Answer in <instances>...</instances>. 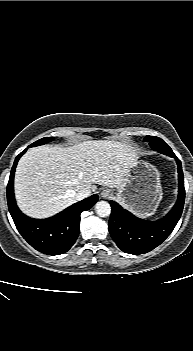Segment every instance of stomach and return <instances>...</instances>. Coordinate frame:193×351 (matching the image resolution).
<instances>
[{"mask_svg": "<svg viewBox=\"0 0 193 351\" xmlns=\"http://www.w3.org/2000/svg\"><path fill=\"white\" fill-rule=\"evenodd\" d=\"M117 200L141 217L153 215L162 199L160 174L155 166L135 160L129 168Z\"/></svg>", "mask_w": 193, "mask_h": 351, "instance_id": "stomach-1", "label": "stomach"}]
</instances>
